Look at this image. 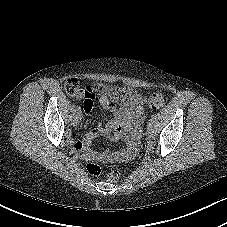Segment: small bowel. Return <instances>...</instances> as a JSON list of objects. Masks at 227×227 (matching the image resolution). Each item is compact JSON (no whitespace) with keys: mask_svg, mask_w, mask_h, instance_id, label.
I'll list each match as a JSON object with an SVG mask.
<instances>
[{"mask_svg":"<svg viewBox=\"0 0 227 227\" xmlns=\"http://www.w3.org/2000/svg\"><path fill=\"white\" fill-rule=\"evenodd\" d=\"M74 96L77 100L83 101L86 113L92 111L93 100L88 99L85 90L79 91ZM99 102L104 109L113 114V118L105 125L99 124L91 129L82 140H72L73 150L87 160L121 161L133 157L138 151L140 126L144 119L141 95L135 91L132 99L119 108L107 96H100ZM98 136H106L112 141L123 138L127 146L117 152L106 150L97 153L92 150V142Z\"/></svg>","mask_w":227,"mask_h":227,"instance_id":"small-bowel-1","label":"small bowel"}]
</instances>
